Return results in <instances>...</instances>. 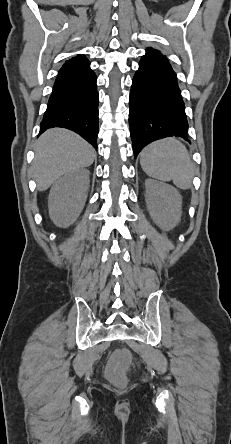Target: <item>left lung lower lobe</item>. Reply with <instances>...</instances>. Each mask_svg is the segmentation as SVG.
Here are the masks:
<instances>
[{"label":"left lung lower lobe","mask_w":231,"mask_h":444,"mask_svg":"<svg viewBox=\"0 0 231 444\" xmlns=\"http://www.w3.org/2000/svg\"><path fill=\"white\" fill-rule=\"evenodd\" d=\"M129 125L135 157L160 138H187L188 123L177 77L167 58L147 48L132 80Z\"/></svg>","instance_id":"1"}]
</instances>
